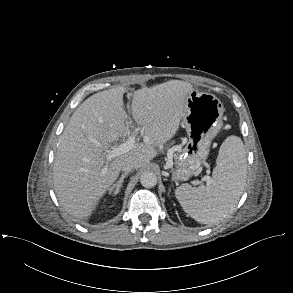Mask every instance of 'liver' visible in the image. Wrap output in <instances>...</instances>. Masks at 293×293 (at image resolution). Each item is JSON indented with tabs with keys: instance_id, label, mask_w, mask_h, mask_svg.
Masks as SVG:
<instances>
[{
	"instance_id": "1",
	"label": "liver",
	"mask_w": 293,
	"mask_h": 293,
	"mask_svg": "<svg viewBox=\"0 0 293 293\" xmlns=\"http://www.w3.org/2000/svg\"><path fill=\"white\" fill-rule=\"evenodd\" d=\"M190 83L171 80L132 95L131 112L143 143L112 161L104 150L130 131L124 110V87L96 93L72 114L59 138L53 184L60 205L71 216L84 219L95 211L100 199L118 179L124 161L135 169L146 166L179 129L185 116Z\"/></svg>"
}]
</instances>
